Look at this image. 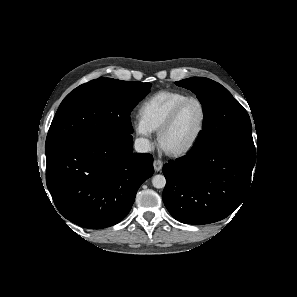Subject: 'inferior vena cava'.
I'll use <instances>...</instances> for the list:
<instances>
[{"label":"inferior vena cava","instance_id":"inferior-vena-cava-1","mask_svg":"<svg viewBox=\"0 0 297 297\" xmlns=\"http://www.w3.org/2000/svg\"><path fill=\"white\" fill-rule=\"evenodd\" d=\"M134 148L138 153H147L151 151V145L146 138H137L134 142Z\"/></svg>","mask_w":297,"mask_h":297}]
</instances>
